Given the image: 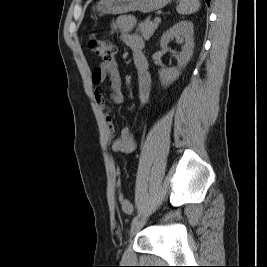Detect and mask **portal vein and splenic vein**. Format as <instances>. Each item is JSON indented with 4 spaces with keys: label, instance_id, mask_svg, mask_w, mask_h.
Wrapping results in <instances>:
<instances>
[{
    "label": "portal vein and splenic vein",
    "instance_id": "obj_1",
    "mask_svg": "<svg viewBox=\"0 0 267 267\" xmlns=\"http://www.w3.org/2000/svg\"><path fill=\"white\" fill-rule=\"evenodd\" d=\"M154 22H161V18L159 16L155 17Z\"/></svg>",
    "mask_w": 267,
    "mask_h": 267
}]
</instances>
